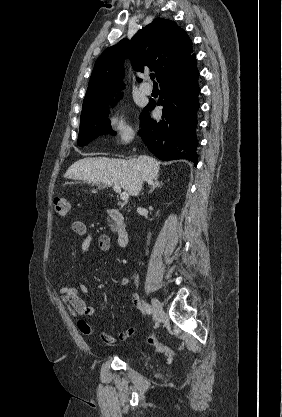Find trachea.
Segmentation results:
<instances>
[{
  "label": "trachea",
  "mask_w": 282,
  "mask_h": 417,
  "mask_svg": "<svg viewBox=\"0 0 282 417\" xmlns=\"http://www.w3.org/2000/svg\"><path fill=\"white\" fill-rule=\"evenodd\" d=\"M150 78H151V80H154L155 75L154 74H150ZM153 86L154 87H157L158 86L157 82H153Z\"/></svg>",
  "instance_id": "trachea-1"
}]
</instances>
